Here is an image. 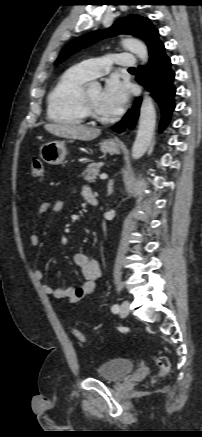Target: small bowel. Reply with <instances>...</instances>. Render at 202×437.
<instances>
[{"mask_svg":"<svg viewBox=\"0 0 202 437\" xmlns=\"http://www.w3.org/2000/svg\"><path fill=\"white\" fill-rule=\"evenodd\" d=\"M92 194L93 192L89 187H83L82 195L86 200ZM64 206L65 202L62 200L42 203L37 211V220H40L50 210L55 213L61 212L64 209ZM30 244L33 247H37L39 245V234L36 228L30 236ZM73 261L80 268L84 282L78 286L57 288H53L48 283H42V290L46 294L53 295L57 299H66L70 303H76L93 293L95 289V282L101 275L99 262L83 253L75 254L73 256ZM34 276L40 282L44 278V274L40 269H36L34 271Z\"/></svg>","mask_w":202,"mask_h":437,"instance_id":"1","label":"small bowel"}]
</instances>
